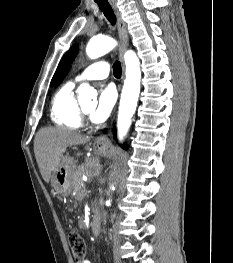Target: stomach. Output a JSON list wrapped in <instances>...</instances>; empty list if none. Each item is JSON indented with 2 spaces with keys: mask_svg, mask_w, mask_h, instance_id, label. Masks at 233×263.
Returning <instances> with one entry per match:
<instances>
[{
  "mask_svg": "<svg viewBox=\"0 0 233 263\" xmlns=\"http://www.w3.org/2000/svg\"><path fill=\"white\" fill-rule=\"evenodd\" d=\"M94 152L97 155L106 156L109 153L107 146H99L94 144ZM75 171V165L72 159L62 157L58 168L53 172L51 185L57 195L67 196L71 193V178Z\"/></svg>",
  "mask_w": 233,
  "mask_h": 263,
  "instance_id": "0dacf381",
  "label": "stomach"
}]
</instances>
